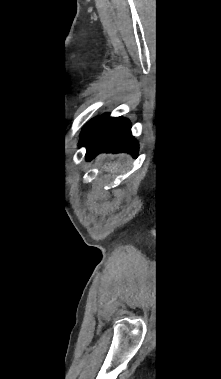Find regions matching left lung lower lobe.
I'll use <instances>...</instances> for the list:
<instances>
[{"label": "left lung lower lobe", "mask_w": 221, "mask_h": 379, "mask_svg": "<svg viewBox=\"0 0 221 379\" xmlns=\"http://www.w3.org/2000/svg\"><path fill=\"white\" fill-rule=\"evenodd\" d=\"M80 146H86L87 160L99 152H128L137 156V142L130 132V122L125 118L102 115L88 122L81 134Z\"/></svg>", "instance_id": "obj_1"}]
</instances>
